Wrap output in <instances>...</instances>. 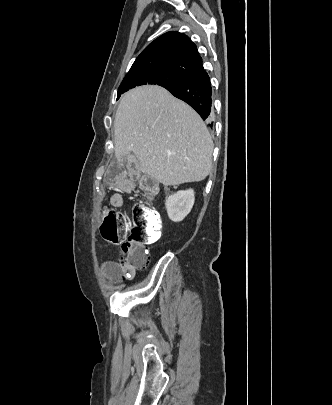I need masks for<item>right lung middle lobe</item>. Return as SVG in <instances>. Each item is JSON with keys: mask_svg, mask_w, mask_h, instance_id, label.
Wrapping results in <instances>:
<instances>
[{"mask_svg": "<svg viewBox=\"0 0 332 405\" xmlns=\"http://www.w3.org/2000/svg\"><path fill=\"white\" fill-rule=\"evenodd\" d=\"M182 79L183 77L179 75L165 73L157 70L130 72L125 76L118 89L117 100L119 99L121 94L136 86L146 84H157L162 87H165L177 83Z\"/></svg>", "mask_w": 332, "mask_h": 405, "instance_id": "1", "label": "right lung middle lobe"}]
</instances>
